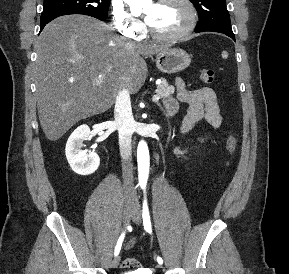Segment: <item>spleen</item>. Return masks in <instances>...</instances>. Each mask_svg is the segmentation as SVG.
<instances>
[{
  "mask_svg": "<svg viewBox=\"0 0 289 274\" xmlns=\"http://www.w3.org/2000/svg\"><path fill=\"white\" fill-rule=\"evenodd\" d=\"M227 56H228L227 53H226V52H223L222 57H223V58H227Z\"/></svg>",
  "mask_w": 289,
  "mask_h": 274,
  "instance_id": "1",
  "label": "spleen"
}]
</instances>
